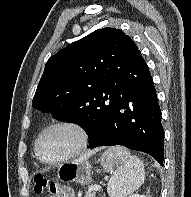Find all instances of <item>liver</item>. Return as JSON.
I'll use <instances>...</instances> for the list:
<instances>
[{"label":"liver","mask_w":191,"mask_h":197,"mask_svg":"<svg viewBox=\"0 0 191 197\" xmlns=\"http://www.w3.org/2000/svg\"><path fill=\"white\" fill-rule=\"evenodd\" d=\"M94 152H92L91 154H93ZM91 154H87V155H84V156H81L79 159H77L78 161H81V160H87Z\"/></svg>","instance_id":"1"}]
</instances>
